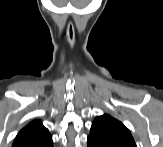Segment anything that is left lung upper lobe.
<instances>
[{
    "mask_svg": "<svg viewBox=\"0 0 163 147\" xmlns=\"http://www.w3.org/2000/svg\"><path fill=\"white\" fill-rule=\"evenodd\" d=\"M90 133L107 137L126 138L134 141L129 130L120 121L107 114L94 119Z\"/></svg>",
    "mask_w": 163,
    "mask_h": 147,
    "instance_id": "5c2ea615",
    "label": "left lung upper lobe"
}]
</instances>
